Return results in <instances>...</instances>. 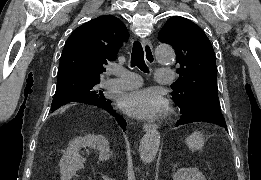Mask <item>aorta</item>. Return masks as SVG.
<instances>
[{
  "label": "aorta",
  "mask_w": 261,
  "mask_h": 180,
  "mask_svg": "<svg viewBox=\"0 0 261 180\" xmlns=\"http://www.w3.org/2000/svg\"><path fill=\"white\" fill-rule=\"evenodd\" d=\"M156 59L160 64H170L174 61V50L168 45H159L155 51ZM160 134L152 129L142 137L139 146L140 158L144 163H151L158 152Z\"/></svg>",
  "instance_id": "obj_1"
}]
</instances>
